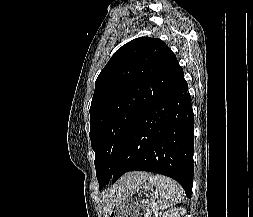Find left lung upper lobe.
Returning <instances> with one entry per match:
<instances>
[{"instance_id":"left-lung-upper-lobe-1","label":"left lung upper lobe","mask_w":253,"mask_h":217,"mask_svg":"<svg viewBox=\"0 0 253 217\" xmlns=\"http://www.w3.org/2000/svg\"><path fill=\"white\" fill-rule=\"evenodd\" d=\"M182 71L167 45L148 37L123 45L101 71L90 107V139L99 189L110 181L133 122Z\"/></svg>"}]
</instances>
